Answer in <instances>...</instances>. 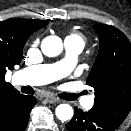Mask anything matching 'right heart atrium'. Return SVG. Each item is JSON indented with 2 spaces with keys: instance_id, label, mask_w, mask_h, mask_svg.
Returning <instances> with one entry per match:
<instances>
[{
  "instance_id": "obj_1",
  "label": "right heart atrium",
  "mask_w": 131,
  "mask_h": 131,
  "mask_svg": "<svg viewBox=\"0 0 131 131\" xmlns=\"http://www.w3.org/2000/svg\"><path fill=\"white\" fill-rule=\"evenodd\" d=\"M39 43V39H35L33 43L31 44L32 47H36Z\"/></svg>"
}]
</instances>
